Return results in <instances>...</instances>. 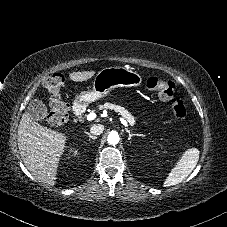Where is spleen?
I'll return each instance as SVG.
<instances>
[{
    "label": "spleen",
    "mask_w": 227,
    "mask_h": 227,
    "mask_svg": "<svg viewBox=\"0 0 227 227\" xmlns=\"http://www.w3.org/2000/svg\"><path fill=\"white\" fill-rule=\"evenodd\" d=\"M200 151L197 148L187 149L177 165L171 170L165 179L163 186L170 187L182 182L196 167Z\"/></svg>",
    "instance_id": "1"
}]
</instances>
